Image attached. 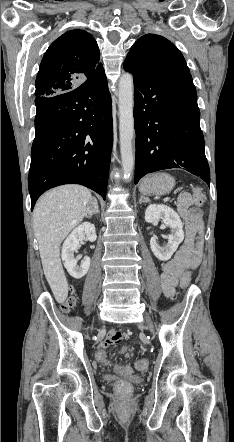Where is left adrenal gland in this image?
<instances>
[{
    "label": "left adrenal gland",
    "instance_id": "a2214340",
    "mask_svg": "<svg viewBox=\"0 0 234 442\" xmlns=\"http://www.w3.org/2000/svg\"><path fill=\"white\" fill-rule=\"evenodd\" d=\"M149 201H150V199L148 197L141 195L139 203L141 204L143 202H149Z\"/></svg>",
    "mask_w": 234,
    "mask_h": 442
}]
</instances>
